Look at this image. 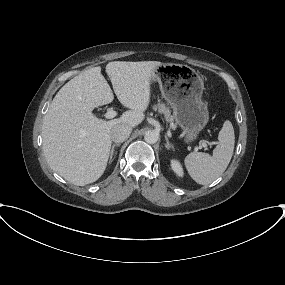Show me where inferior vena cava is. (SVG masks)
<instances>
[{
    "label": "inferior vena cava",
    "mask_w": 285,
    "mask_h": 285,
    "mask_svg": "<svg viewBox=\"0 0 285 285\" xmlns=\"http://www.w3.org/2000/svg\"><path fill=\"white\" fill-rule=\"evenodd\" d=\"M132 128L128 125H116L111 129V140L120 143L129 138Z\"/></svg>",
    "instance_id": "1"
}]
</instances>
